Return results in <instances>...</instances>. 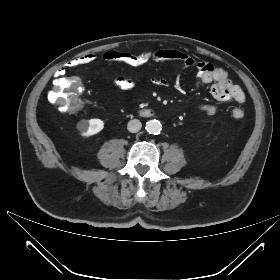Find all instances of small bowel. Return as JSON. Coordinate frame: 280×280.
Masks as SVG:
<instances>
[{
	"label": "small bowel",
	"mask_w": 280,
	"mask_h": 280,
	"mask_svg": "<svg viewBox=\"0 0 280 280\" xmlns=\"http://www.w3.org/2000/svg\"><path fill=\"white\" fill-rule=\"evenodd\" d=\"M151 57L155 61H180L185 68L196 67V77L202 84L211 85V95L218 101H230L233 100L239 104H243L246 100L243 90L236 85L229 77L228 72L219 67H215L208 62H196L190 55L179 50H158L143 56H134L129 53L120 50H110L103 54V60L107 63L114 61H122L131 66H141L145 58ZM95 56L92 54L83 55L76 59H73L66 63L65 68L58 71L57 75L65 73L66 69H74L82 65L93 62ZM150 81L154 86L163 87L168 85V81L164 78L151 76ZM113 83L121 89H132L136 82L134 79L116 76L113 79ZM175 86L177 89L181 88L179 79L175 80ZM199 108L207 113L214 114L217 112V106L212 103H202ZM242 111L240 108L233 110V117L236 116V112Z\"/></svg>",
	"instance_id": "c3829d8e"
}]
</instances>
